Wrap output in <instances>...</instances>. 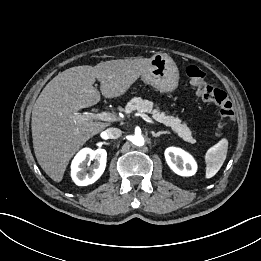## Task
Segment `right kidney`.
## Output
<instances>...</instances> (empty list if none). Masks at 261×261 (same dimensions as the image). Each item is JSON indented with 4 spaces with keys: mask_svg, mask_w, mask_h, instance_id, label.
Segmentation results:
<instances>
[{
    "mask_svg": "<svg viewBox=\"0 0 261 261\" xmlns=\"http://www.w3.org/2000/svg\"><path fill=\"white\" fill-rule=\"evenodd\" d=\"M94 160L90 172H86V159ZM107 161L105 149L84 148L74 157L71 164V177L78 186H87L97 181L103 174Z\"/></svg>",
    "mask_w": 261,
    "mask_h": 261,
    "instance_id": "obj_1",
    "label": "right kidney"
}]
</instances>
